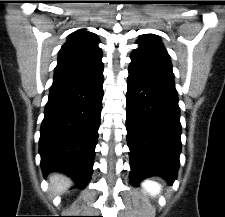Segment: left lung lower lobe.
Masks as SVG:
<instances>
[{
  "label": "left lung lower lobe",
  "instance_id": "1",
  "mask_svg": "<svg viewBox=\"0 0 225 217\" xmlns=\"http://www.w3.org/2000/svg\"><path fill=\"white\" fill-rule=\"evenodd\" d=\"M126 129L131 181L158 175L176 179L181 152V124L173 74L163 69L129 66Z\"/></svg>",
  "mask_w": 225,
  "mask_h": 217
}]
</instances>
